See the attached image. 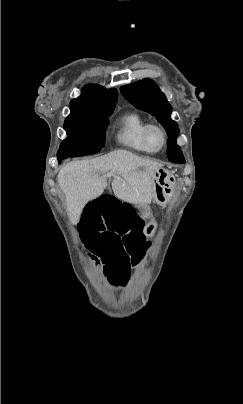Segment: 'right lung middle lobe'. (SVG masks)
Masks as SVG:
<instances>
[{"instance_id":"right-lung-middle-lobe-1","label":"right lung middle lobe","mask_w":243,"mask_h":404,"mask_svg":"<svg viewBox=\"0 0 243 404\" xmlns=\"http://www.w3.org/2000/svg\"><path fill=\"white\" fill-rule=\"evenodd\" d=\"M115 107L94 113L70 114L64 123L67 138L57 152L59 163L68 157L97 153L105 145L108 117Z\"/></svg>"}]
</instances>
